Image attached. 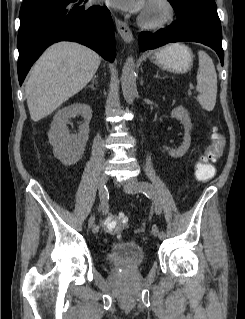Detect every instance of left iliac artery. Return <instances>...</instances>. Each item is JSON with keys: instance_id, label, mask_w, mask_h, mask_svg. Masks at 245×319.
<instances>
[{"instance_id": "obj_1", "label": "left iliac artery", "mask_w": 245, "mask_h": 319, "mask_svg": "<svg viewBox=\"0 0 245 319\" xmlns=\"http://www.w3.org/2000/svg\"><path fill=\"white\" fill-rule=\"evenodd\" d=\"M137 189H138L139 192H142L143 194H145L148 198L156 199L155 190H154L152 184H150L149 182H145V181L139 182L138 185H137ZM155 211H156V214H160L161 213V208H160L158 203L155 206ZM160 235L163 238L166 236L164 231H160Z\"/></svg>"}]
</instances>
